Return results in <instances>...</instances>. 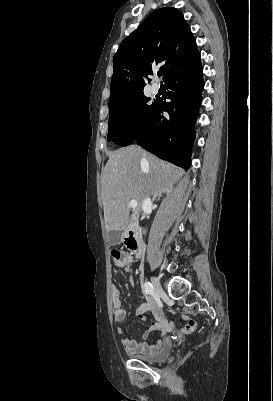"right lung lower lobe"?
<instances>
[{"instance_id": "right-lung-lower-lobe-1", "label": "right lung lower lobe", "mask_w": 273, "mask_h": 401, "mask_svg": "<svg viewBox=\"0 0 273 401\" xmlns=\"http://www.w3.org/2000/svg\"><path fill=\"white\" fill-rule=\"evenodd\" d=\"M203 68L200 58L175 68L166 78L170 103L157 101L150 122L135 141L161 159L188 169L195 139L194 123L202 102ZM163 111L169 117L163 116Z\"/></svg>"}]
</instances>
